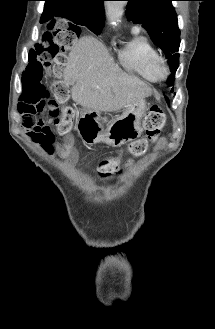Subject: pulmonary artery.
Returning <instances> with one entry per match:
<instances>
[{"label":"pulmonary artery","instance_id":"pulmonary-artery-1","mask_svg":"<svg viewBox=\"0 0 215 329\" xmlns=\"http://www.w3.org/2000/svg\"><path fill=\"white\" fill-rule=\"evenodd\" d=\"M134 30H138L139 31V28L138 27H134Z\"/></svg>","mask_w":215,"mask_h":329}]
</instances>
